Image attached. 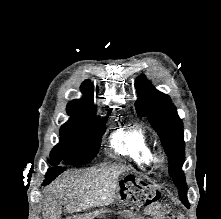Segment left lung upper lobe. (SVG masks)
<instances>
[{"label": "left lung upper lobe", "mask_w": 221, "mask_h": 219, "mask_svg": "<svg viewBox=\"0 0 221 219\" xmlns=\"http://www.w3.org/2000/svg\"><path fill=\"white\" fill-rule=\"evenodd\" d=\"M139 98L136 110L148 117L149 122L161 138L163 148L169 158V174L179 190L183 204L189 208L187 186L182 165L185 160L183 124L171 99L164 93L150 87L144 75L136 80Z\"/></svg>", "instance_id": "left-lung-upper-lobe-1"}]
</instances>
